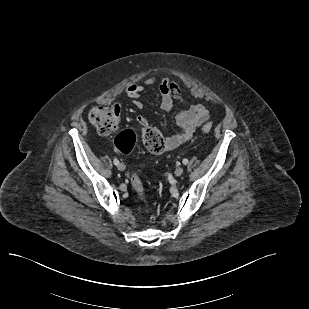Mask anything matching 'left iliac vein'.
Here are the masks:
<instances>
[{
  "label": "left iliac vein",
  "instance_id": "obj_1",
  "mask_svg": "<svg viewBox=\"0 0 309 309\" xmlns=\"http://www.w3.org/2000/svg\"><path fill=\"white\" fill-rule=\"evenodd\" d=\"M184 169L182 167H177L175 169V176H181L183 174Z\"/></svg>",
  "mask_w": 309,
  "mask_h": 309
}]
</instances>
